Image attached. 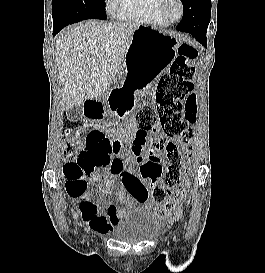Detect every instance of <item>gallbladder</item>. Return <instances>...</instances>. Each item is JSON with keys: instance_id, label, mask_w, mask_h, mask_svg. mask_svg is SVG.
Returning a JSON list of instances; mask_svg holds the SVG:
<instances>
[{"instance_id": "obj_1", "label": "gallbladder", "mask_w": 265, "mask_h": 273, "mask_svg": "<svg viewBox=\"0 0 265 273\" xmlns=\"http://www.w3.org/2000/svg\"><path fill=\"white\" fill-rule=\"evenodd\" d=\"M67 117L68 119L70 120H75V119H78L79 116H80V108L79 107H73V108H70V109H67Z\"/></svg>"}]
</instances>
